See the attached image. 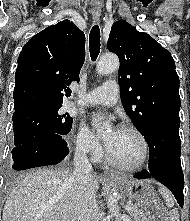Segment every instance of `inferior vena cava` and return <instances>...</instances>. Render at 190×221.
Instances as JSON below:
<instances>
[{
    "mask_svg": "<svg viewBox=\"0 0 190 221\" xmlns=\"http://www.w3.org/2000/svg\"><path fill=\"white\" fill-rule=\"evenodd\" d=\"M87 148L77 143L74 155L73 186L77 193V221H99V208L92 186V167Z\"/></svg>",
    "mask_w": 190,
    "mask_h": 221,
    "instance_id": "obj_1",
    "label": "inferior vena cava"
}]
</instances>
